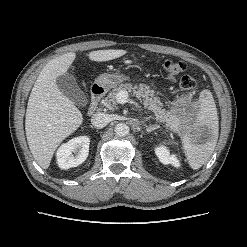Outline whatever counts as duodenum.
Listing matches in <instances>:
<instances>
[{"mask_svg": "<svg viewBox=\"0 0 247 247\" xmlns=\"http://www.w3.org/2000/svg\"><path fill=\"white\" fill-rule=\"evenodd\" d=\"M104 93L105 88L100 84H94L91 87V101L88 108V113L90 115L94 114L97 111L99 102L102 99Z\"/></svg>", "mask_w": 247, "mask_h": 247, "instance_id": "obj_1", "label": "duodenum"}]
</instances>
